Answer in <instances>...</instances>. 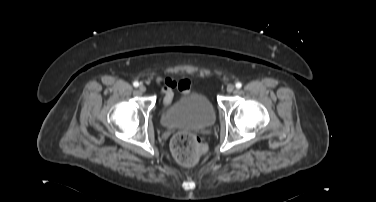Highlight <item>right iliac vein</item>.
I'll use <instances>...</instances> for the list:
<instances>
[{
  "label": "right iliac vein",
  "mask_w": 376,
  "mask_h": 202,
  "mask_svg": "<svg viewBox=\"0 0 376 202\" xmlns=\"http://www.w3.org/2000/svg\"><path fill=\"white\" fill-rule=\"evenodd\" d=\"M138 90L139 92L144 93L146 91V87L144 85H140Z\"/></svg>",
  "instance_id": "obj_1"
}]
</instances>
